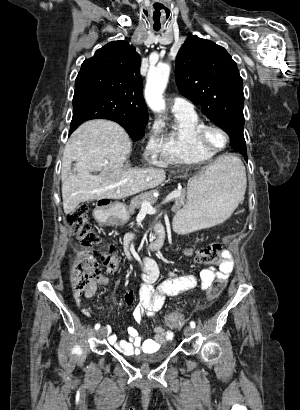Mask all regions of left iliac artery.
<instances>
[{
    "mask_svg": "<svg viewBox=\"0 0 300 410\" xmlns=\"http://www.w3.org/2000/svg\"><path fill=\"white\" fill-rule=\"evenodd\" d=\"M190 326H191L192 328H195V326H196L195 322H194V321H191V322H190Z\"/></svg>",
    "mask_w": 300,
    "mask_h": 410,
    "instance_id": "44dca946",
    "label": "left iliac artery"
}]
</instances>
